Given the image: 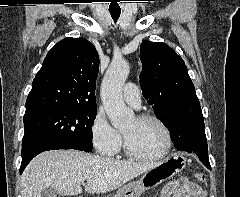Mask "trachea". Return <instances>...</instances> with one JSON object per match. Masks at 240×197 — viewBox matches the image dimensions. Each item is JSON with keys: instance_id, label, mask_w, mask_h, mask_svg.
Instances as JSON below:
<instances>
[{"instance_id": "obj_1", "label": "trachea", "mask_w": 240, "mask_h": 197, "mask_svg": "<svg viewBox=\"0 0 240 197\" xmlns=\"http://www.w3.org/2000/svg\"><path fill=\"white\" fill-rule=\"evenodd\" d=\"M113 20L116 22L118 18L120 17V12H110Z\"/></svg>"}]
</instances>
